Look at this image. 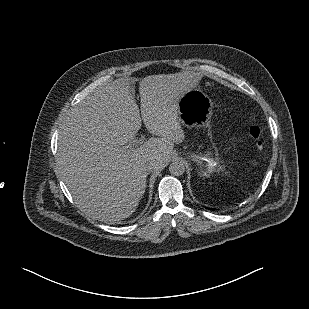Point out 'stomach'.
Returning a JSON list of instances; mask_svg holds the SVG:
<instances>
[{"instance_id": "stomach-1", "label": "stomach", "mask_w": 309, "mask_h": 309, "mask_svg": "<svg viewBox=\"0 0 309 309\" xmlns=\"http://www.w3.org/2000/svg\"><path fill=\"white\" fill-rule=\"evenodd\" d=\"M211 113V101L195 92L187 94L177 106L178 121L185 127L205 126Z\"/></svg>"}]
</instances>
